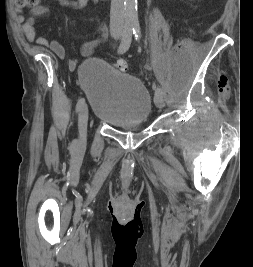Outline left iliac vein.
I'll list each match as a JSON object with an SVG mask.
<instances>
[{
    "instance_id": "1",
    "label": "left iliac vein",
    "mask_w": 253,
    "mask_h": 267,
    "mask_svg": "<svg viewBox=\"0 0 253 267\" xmlns=\"http://www.w3.org/2000/svg\"><path fill=\"white\" fill-rule=\"evenodd\" d=\"M165 97L166 96H165L164 92H163V94L162 93H158V94L155 95L154 103L159 109L163 108Z\"/></svg>"
}]
</instances>
